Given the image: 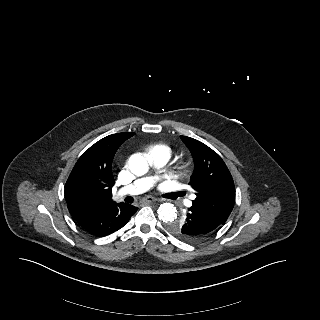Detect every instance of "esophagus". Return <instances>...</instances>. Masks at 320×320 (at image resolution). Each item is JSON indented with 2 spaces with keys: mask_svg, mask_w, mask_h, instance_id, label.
I'll use <instances>...</instances> for the list:
<instances>
[{
  "mask_svg": "<svg viewBox=\"0 0 320 320\" xmlns=\"http://www.w3.org/2000/svg\"><path fill=\"white\" fill-rule=\"evenodd\" d=\"M156 201H157V199L154 198V197H151V196L146 197V198L143 199L144 203H153V202H156Z\"/></svg>",
  "mask_w": 320,
  "mask_h": 320,
  "instance_id": "esophagus-1",
  "label": "esophagus"
}]
</instances>
